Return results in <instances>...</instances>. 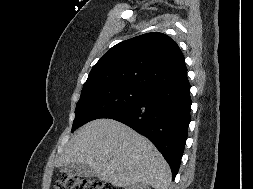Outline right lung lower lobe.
Listing matches in <instances>:
<instances>
[{
    "label": "right lung lower lobe",
    "mask_w": 253,
    "mask_h": 189,
    "mask_svg": "<svg viewBox=\"0 0 253 189\" xmlns=\"http://www.w3.org/2000/svg\"><path fill=\"white\" fill-rule=\"evenodd\" d=\"M191 104L190 84L185 79L154 86L140 101L106 118L146 136L168 162L174 180L187 139Z\"/></svg>",
    "instance_id": "right-lung-lower-lobe-1"
}]
</instances>
